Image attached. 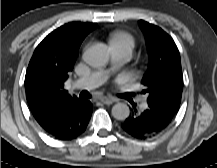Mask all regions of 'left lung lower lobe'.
Returning a JSON list of instances; mask_svg holds the SVG:
<instances>
[{
	"label": "left lung lower lobe",
	"mask_w": 217,
	"mask_h": 168,
	"mask_svg": "<svg viewBox=\"0 0 217 168\" xmlns=\"http://www.w3.org/2000/svg\"><path fill=\"white\" fill-rule=\"evenodd\" d=\"M175 113L169 109L148 103V108L141 114L125 120L122 128L131 136L144 139L162 132L172 121Z\"/></svg>",
	"instance_id": "obj_1"
}]
</instances>
